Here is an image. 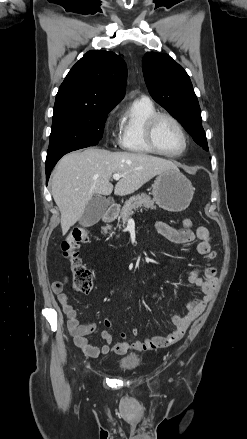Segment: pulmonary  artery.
I'll return each instance as SVG.
<instances>
[{"instance_id":"obj_1","label":"pulmonary artery","mask_w":247,"mask_h":439,"mask_svg":"<svg viewBox=\"0 0 247 439\" xmlns=\"http://www.w3.org/2000/svg\"><path fill=\"white\" fill-rule=\"evenodd\" d=\"M142 99H148L147 97H142Z\"/></svg>"}]
</instances>
